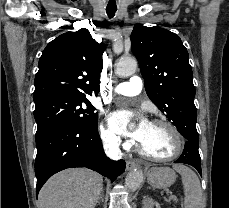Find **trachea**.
Returning <instances> with one entry per match:
<instances>
[{"label":"trachea","instance_id":"trachea-1","mask_svg":"<svg viewBox=\"0 0 229 208\" xmlns=\"http://www.w3.org/2000/svg\"><path fill=\"white\" fill-rule=\"evenodd\" d=\"M116 11H117V7H107L106 8V13L109 18H113L115 16Z\"/></svg>","mask_w":229,"mask_h":208}]
</instances>
